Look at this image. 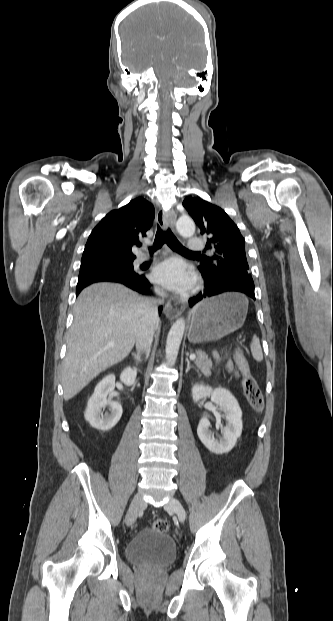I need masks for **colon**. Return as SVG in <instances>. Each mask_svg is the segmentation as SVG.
Here are the masks:
<instances>
[{
  "mask_svg": "<svg viewBox=\"0 0 333 621\" xmlns=\"http://www.w3.org/2000/svg\"><path fill=\"white\" fill-rule=\"evenodd\" d=\"M236 363L243 377V389L245 396L256 411H260L263 407V395L262 391L251 374L247 359L243 350L238 349L235 353ZM153 528L161 532H167L169 530V523L166 519L159 518L153 523Z\"/></svg>",
  "mask_w": 333,
  "mask_h": 621,
  "instance_id": "obj_1",
  "label": "colon"
}]
</instances>
